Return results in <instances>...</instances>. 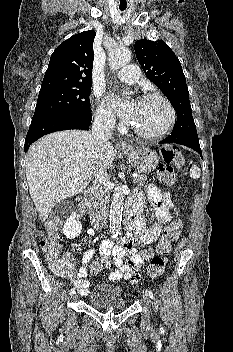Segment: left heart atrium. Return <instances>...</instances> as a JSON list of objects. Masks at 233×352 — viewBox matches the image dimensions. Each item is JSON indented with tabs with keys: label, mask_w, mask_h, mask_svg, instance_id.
I'll use <instances>...</instances> for the list:
<instances>
[{
	"label": "left heart atrium",
	"mask_w": 233,
	"mask_h": 352,
	"mask_svg": "<svg viewBox=\"0 0 233 352\" xmlns=\"http://www.w3.org/2000/svg\"><path fill=\"white\" fill-rule=\"evenodd\" d=\"M113 104L125 121L131 122L133 120L135 115L136 102H133L130 105H124L121 101L114 98Z\"/></svg>",
	"instance_id": "left-heart-atrium-1"
}]
</instances>
